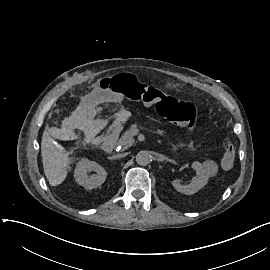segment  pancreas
Listing matches in <instances>:
<instances>
[{
  "label": "pancreas",
  "mask_w": 270,
  "mask_h": 270,
  "mask_svg": "<svg viewBox=\"0 0 270 270\" xmlns=\"http://www.w3.org/2000/svg\"><path fill=\"white\" fill-rule=\"evenodd\" d=\"M140 126H141L140 124H135V125L132 126V129L138 128V127H140ZM132 129L128 130V131L125 133V135L122 137L123 140H127V139L130 140V139L133 138Z\"/></svg>",
  "instance_id": "pancreas-1"
}]
</instances>
